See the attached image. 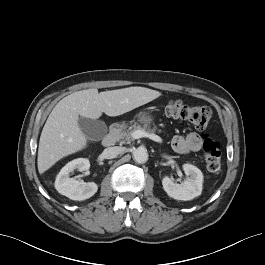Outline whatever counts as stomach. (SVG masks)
Listing matches in <instances>:
<instances>
[{
	"label": "stomach",
	"mask_w": 265,
	"mask_h": 265,
	"mask_svg": "<svg viewBox=\"0 0 265 265\" xmlns=\"http://www.w3.org/2000/svg\"><path fill=\"white\" fill-rule=\"evenodd\" d=\"M137 118H138V121L144 124L145 126L151 124L153 121V116L151 115L150 112H140L137 115Z\"/></svg>",
	"instance_id": "0dacf381"
}]
</instances>
